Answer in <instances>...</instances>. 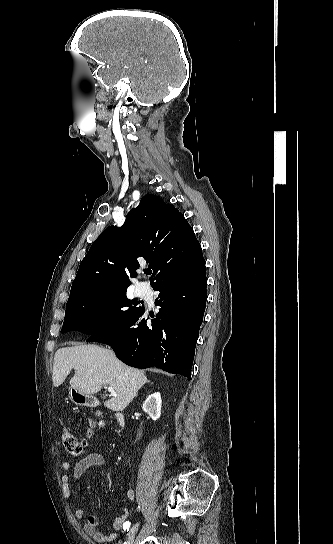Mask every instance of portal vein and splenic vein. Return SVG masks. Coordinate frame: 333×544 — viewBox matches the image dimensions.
<instances>
[{"instance_id":"obj_1","label":"portal vein and splenic vein","mask_w":333,"mask_h":544,"mask_svg":"<svg viewBox=\"0 0 333 544\" xmlns=\"http://www.w3.org/2000/svg\"><path fill=\"white\" fill-rule=\"evenodd\" d=\"M108 392H110L112 395L116 396V393H115L113 387H108Z\"/></svg>"}]
</instances>
